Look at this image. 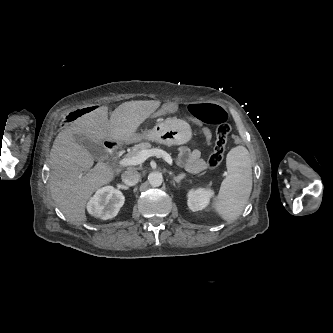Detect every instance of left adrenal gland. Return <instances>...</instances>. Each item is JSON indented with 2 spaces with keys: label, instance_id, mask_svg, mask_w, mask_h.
I'll return each instance as SVG.
<instances>
[{
  "label": "left adrenal gland",
  "instance_id": "a2214340",
  "mask_svg": "<svg viewBox=\"0 0 333 333\" xmlns=\"http://www.w3.org/2000/svg\"><path fill=\"white\" fill-rule=\"evenodd\" d=\"M185 177H186L185 174H180V175H178L177 177L174 176V181H175L176 183H180V182L182 181V179H184Z\"/></svg>",
  "mask_w": 333,
  "mask_h": 333
}]
</instances>
